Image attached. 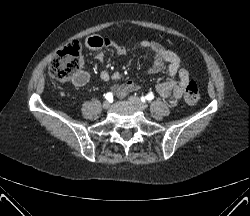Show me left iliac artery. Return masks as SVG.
Masks as SVG:
<instances>
[{"label":"left iliac artery","mask_w":250,"mask_h":216,"mask_svg":"<svg viewBox=\"0 0 250 216\" xmlns=\"http://www.w3.org/2000/svg\"><path fill=\"white\" fill-rule=\"evenodd\" d=\"M153 98H154V95L152 93H149L145 97H141V100L142 101H145V100L151 101Z\"/></svg>","instance_id":"44dca946"}]
</instances>
